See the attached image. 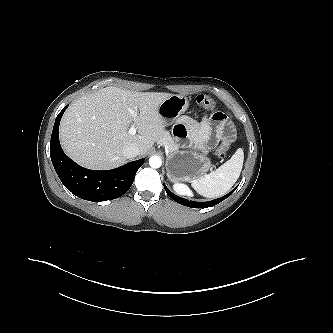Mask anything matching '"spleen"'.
Instances as JSON below:
<instances>
[{
	"label": "spleen",
	"mask_w": 333,
	"mask_h": 333,
	"mask_svg": "<svg viewBox=\"0 0 333 333\" xmlns=\"http://www.w3.org/2000/svg\"><path fill=\"white\" fill-rule=\"evenodd\" d=\"M244 161V151L237 149L233 156L215 171L193 180L191 186L200 195L208 198L226 194L238 180Z\"/></svg>",
	"instance_id": "3e777b00"
}]
</instances>
